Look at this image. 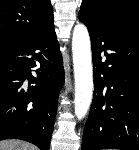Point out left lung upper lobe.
<instances>
[{"label": "left lung upper lobe", "instance_id": "5c2ea615", "mask_svg": "<svg viewBox=\"0 0 139 150\" xmlns=\"http://www.w3.org/2000/svg\"><path fill=\"white\" fill-rule=\"evenodd\" d=\"M79 15L103 27L139 16L138 0H83Z\"/></svg>", "mask_w": 139, "mask_h": 150}]
</instances>
